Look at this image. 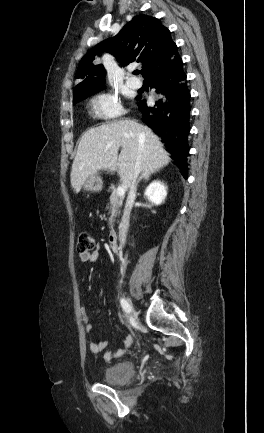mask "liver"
I'll use <instances>...</instances> for the list:
<instances>
[{"instance_id":"obj_1","label":"liver","mask_w":264,"mask_h":433,"mask_svg":"<svg viewBox=\"0 0 264 433\" xmlns=\"http://www.w3.org/2000/svg\"><path fill=\"white\" fill-rule=\"evenodd\" d=\"M139 155L143 173H155L170 162L159 137L134 120H116L89 129L81 137L72 164L74 192L79 193L86 179L99 170L117 171L123 185L129 188Z\"/></svg>"}]
</instances>
